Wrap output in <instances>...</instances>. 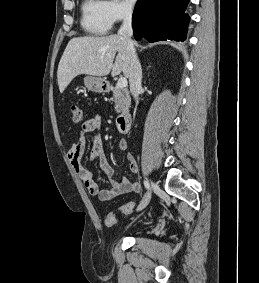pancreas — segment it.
I'll return each instance as SVG.
<instances>
[{
    "label": "pancreas",
    "instance_id": "obj_1",
    "mask_svg": "<svg viewBox=\"0 0 259 283\" xmlns=\"http://www.w3.org/2000/svg\"><path fill=\"white\" fill-rule=\"evenodd\" d=\"M112 91L113 96L111 99L115 103V111L117 113L128 111L131 104L128 90L115 86L112 88Z\"/></svg>",
    "mask_w": 259,
    "mask_h": 283
}]
</instances>
